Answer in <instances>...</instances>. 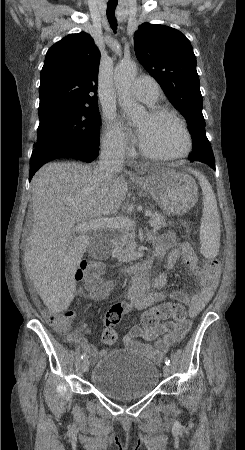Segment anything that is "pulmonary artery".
Listing matches in <instances>:
<instances>
[{
  "label": "pulmonary artery",
  "instance_id": "1",
  "mask_svg": "<svg viewBox=\"0 0 245 450\" xmlns=\"http://www.w3.org/2000/svg\"><path fill=\"white\" fill-rule=\"evenodd\" d=\"M132 97L147 104H154L161 95V90L156 81L150 76H142L134 80L129 87Z\"/></svg>",
  "mask_w": 245,
  "mask_h": 450
}]
</instances>
